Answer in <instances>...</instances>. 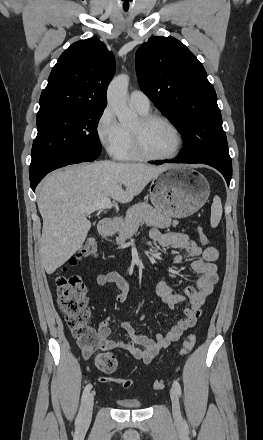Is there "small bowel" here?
I'll return each instance as SVG.
<instances>
[{
    "instance_id": "obj_1",
    "label": "small bowel",
    "mask_w": 263,
    "mask_h": 440,
    "mask_svg": "<svg viewBox=\"0 0 263 440\" xmlns=\"http://www.w3.org/2000/svg\"><path fill=\"white\" fill-rule=\"evenodd\" d=\"M149 236L152 241L162 247L182 249L183 253L174 258V263L181 264L187 259L192 260L191 269L199 274L196 284L185 287L183 293H176L165 277H161L157 284L156 295L169 308L173 309L179 304L186 305L183 317L165 334H157L155 338L136 333L132 322L125 321L122 327L130 339L112 340L110 339L111 330L109 327L112 316H107L98 324L94 332L97 341L91 352L98 349L109 350L119 348L128 351L135 359L147 364L153 360L161 349L177 341L186 330L193 327L201 316L202 305L212 292L218 279L217 267L215 265L219 255L218 250L211 246L202 249L184 233H163L159 229H152ZM93 284L97 286L113 284L119 290L116 301L124 303L128 299L130 284L126 277L117 271H108L96 275L93 278ZM144 318V315L140 316V320Z\"/></svg>"
}]
</instances>
